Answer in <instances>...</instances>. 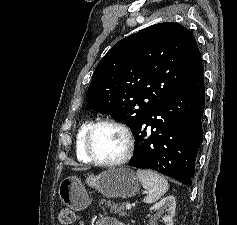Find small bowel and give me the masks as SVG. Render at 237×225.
Here are the masks:
<instances>
[{
	"instance_id": "obj_1",
	"label": "small bowel",
	"mask_w": 237,
	"mask_h": 225,
	"mask_svg": "<svg viewBox=\"0 0 237 225\" xmlns=\"http://www.w3.org/2000/svg\"><path fill=\"white\" fill-rule=\"evenodd\" d=\"M97 225H124V224L113 217H104L98 221Z\"/></svg>"
}]
</instances>
